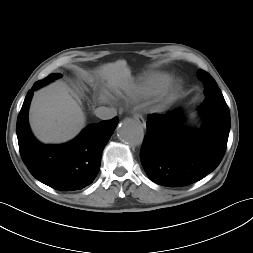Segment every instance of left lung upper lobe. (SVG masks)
Returning a JSON list of instances; mask_svg holds the SVG:
<instances>
[{
  "mask_svg": "<svg viewBox=\"0 0 253 253\" xmlns=\"http://www.w3.org/2000/svg\"><path fill=\"white\" fill-rule=\"evenodd\" d=\"M198 78L203 82L207 97L224 98L215 80L203 70H199Z\"/></svg>",
  "mask_w": 253,
  "mask_h": 253,
  "instance_id": "obj_1",
  "label": "left lung upper lobe"
}]
</instances>
